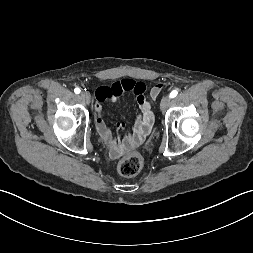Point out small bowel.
<instances>
[{
  "label": "small bowel",
  "instance_id": "c3829d8e",
  "mask_svg": "<svg viewBox=\"0 0 253 253\" xmlns=\"http://www.w3.org/2000/svg\"><path fill=\"white\" fill-rule=\"evenodd\" d=\"M162 87V84L155 85L152 88L151 95L156 96ZM145 90L146 87L141 82H136L132 79H122L114 83L111 87L102 86L96 91L97 102L94 106L96 112V127L101 138L109 147L111 156L114 158L119 157L142 143L152 129L154 116L150 103L146 99ZM127 92H133L136 96L139 115L136 118L133 130L122 136L120 134H114L108 127L101 103L105 101L115 102L119 96ZM124 129L125 124L119 122L117 124V130L123 131Z\"/></svg>",
  "mask_w": 253,
  "mask_h": 253
}]
</instances>
